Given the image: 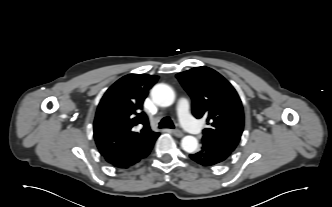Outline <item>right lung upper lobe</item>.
<instances>
[{"mask_svg":"<svg viewBox=\"0 0 332 207\" xmlns=\"http://www.w3.org/2000/svg\"><path fill=\"white\" fill-rule=\"evenodd\" d=\"M158 76L129 74L102 97L94 120V138L106 161L129 168L145 158L160 135L150 129L143 102Z\"/></svg>","mask_w":332,"mask_h":207,"instance_id":"cb5924a9","label":"right lung upper lobe"}]
</instances>
